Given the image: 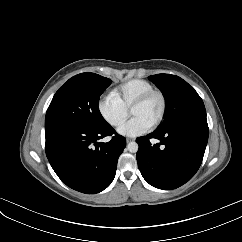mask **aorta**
<instances>
[{
    "instance_id": "aorta-1",
    "label": "aorta",
    "mask_w": 242,
    "mask_h": 242,
    "mask_svg": "<svg viewBox=\"0 0 242 242\" xmlns=\"http://www.w3.org/2000/svg\"><path fill=\"white\" fill-rule=\"evenodd\" d=\"M127 149L131 153H136L138 151V149H139V146H138V144L136 142H130L127 145Z\"/></svg>"
}]
</instances>
